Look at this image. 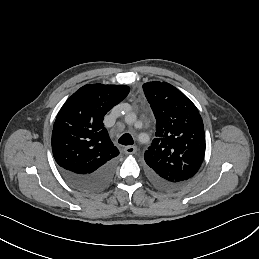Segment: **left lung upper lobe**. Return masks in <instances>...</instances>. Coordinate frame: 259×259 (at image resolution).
<instances>
[{"mask_svg": "<svg viewBox=\"0 0 259 259\" xmlns=\"http://www.w3.org/2000/svg\"><path fill=\"white\" fill-rule=\"evenodd\" d=\"M156 118V133L145 152L149 174L157 180L186 183L199 170L205 155V132L196 106L166 82L143 85Z\"/></svg>", "mask_w": 259, "mask_h": 259, "instance_id": "left-lung-upper-lobe-1", "label": "left lung upper lobe"}]
</instances>
